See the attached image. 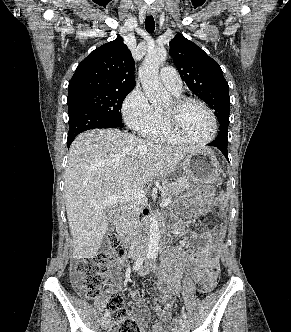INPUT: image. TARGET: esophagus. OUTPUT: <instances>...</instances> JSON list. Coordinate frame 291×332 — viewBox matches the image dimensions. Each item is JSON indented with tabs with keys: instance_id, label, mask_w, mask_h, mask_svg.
<instances>
[{
	"instance_id": "1",
	"label": "esophagus",
	"mask_w": 291,
	"mask_h": 332,
	"mask_svg": "<svg viewBox=\"0 0 291 332\" xmlns=\"http://www.w3.org/2000/svg\"><path fill=\"white\" fill-rule=\"evenodd\" d=\"M148 14L154 16V15L156 14L155 8H154V7H150V8L148 9Z\"/></svg>"
}]
</instances>
